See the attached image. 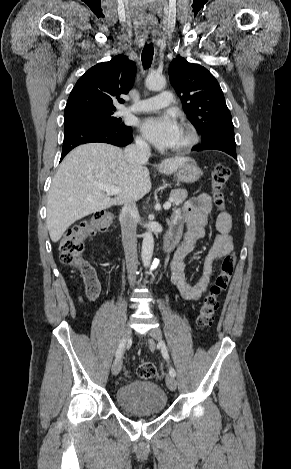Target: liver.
<instances>
[{
	"label": "liver",
	"instance_id": "liver-1",
	"mask_svg": "<svg viewBox=\"0 0 291 469\" xmlns=\"http://www.w3.org/2000/svg\"><path fill=\"white\" fill-rule=\"evenodd\" d=\"M186 157L163 160L158 165L162 174H172L186 162ZM98 184L120 189L109 197ZM151 190L149 170L143 164H130L124 151L104 143L78 146L62 161L49 190L47 227L50 238L58 242L76 221L92 213L127 201H137Z\"/></svg>",
	"mask_w": 291,
	"mask_h": 469
}]
</instances>
